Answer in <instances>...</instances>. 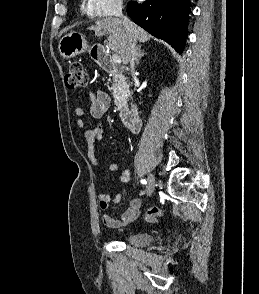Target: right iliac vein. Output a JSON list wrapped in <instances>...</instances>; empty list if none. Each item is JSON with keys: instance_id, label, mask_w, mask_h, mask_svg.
Wrapping results in <instances>:
<instances>
[{"instance_id": "63e3f726", "label": "right iliac vein", "mask_w": 259, "mask_h": 294, "mask_svg": "<svg viewBox=\"0 0 259 294\" xmlns=\"http://www.w3.org/2000/svg\"><path fill=\"white\" fill-rule=\"evenodd\" d=\"M156 178L154 174H149L147 184V196H151L155 190Z\"/></svg>"}]
</instances>
